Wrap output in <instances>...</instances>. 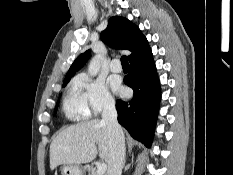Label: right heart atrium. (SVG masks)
I'll list each match as a JSON object with an SVG mask.
<instances>
[{"label": "right heart atrium", "instance_id": "1", "mask_svg": "<svg viewBox=\"0 0 233 175\" xmlns=\"http://www.w3.org/2000/svg\"><path fill=\"white\" fill-rule=\"evenodd\" d=\"M72 84L93 115H99L115 107L114 96L103 81L82 74Z\"/></svg>", "mask_w": 233, "mask_h": 175}]
</instances>
